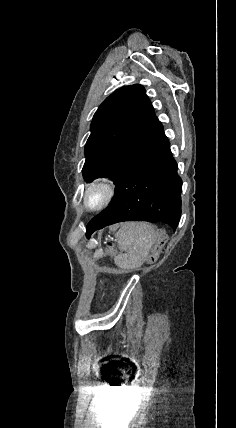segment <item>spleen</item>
I'll return each mask as SVG.
<instances>
[{
	"mask_svg": "<svg viewBox=\"0 0 236 428\" xmlns=\"http://www.w3.org/2000/svg\"><path fill=\"white\" fill-rule=\"evenodd\" d=\"M121 252L127 250V254H119L114 258L116 266L130 270L140 268L146 262L151 246L155 244L156 234L146 222H126L116 234Z\"/></svg>",
	"mask_w": 236,
	"mask_h": 428,
	"instance_id": "3e777b00",
	"label": "spleen"
}]
</instances>
